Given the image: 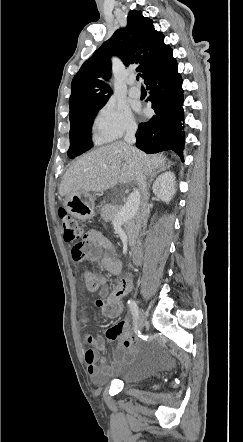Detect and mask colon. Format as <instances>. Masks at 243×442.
Here are the masks:
<instances>
[{"label": "colon", "instance_id": "1", "mask_svg": "<svg viewBox=\"0 0 243 442\" xmlns=\"http://www.w3.org/2000/svg\"><path fill=\"white\" fill-rule=\"evenodd\" d=\"M59 217L63 227L64 239L70 243L68 250L72 252V258L80 260L86 248V242L83 237V228L75 218L69 215L64 209L59 211ZM84 285L91 292L97 291L101 286V278L94 272L87 271L84 276Z\"/></svg>", "mask_w": 243, "mask_h": 442}]
</instances>
